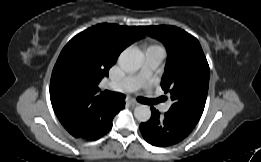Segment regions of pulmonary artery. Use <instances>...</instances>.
Listing matches in <instances>:
<instances>
[{"mask_svg":"<svg viewBox=\"0 0 261 162\" xmlns=\"http://www.w3.org/2000/svg\"><path fill=\"white\" fill-rule=\"evenodd\" d=\"M163 58L164 52L161 48L146 49L143 55V63L139 72L134 75L127 76L120 81L110 82V88L120 93H127L146 86L153 72L162 62ZM158 109L160 112H167L169 109V103H163L159 101Z\"/></svg>","mask_w":261,"mask_h":162,"instance_id":"pulmonary-artery-1","label":"pulmonary artery"}]
</instances>
